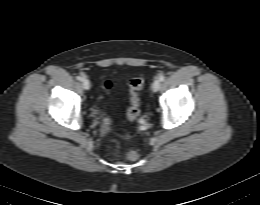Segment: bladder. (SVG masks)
<instances>
[{"instance_id":"1","label":"bladder","mask_w":260,"mask_h":205,"mask_svg":"<svg viewBox=\"0 0 260 205\" xmlns=\"http://www.w3.org/2000/svg\"><path fill=\"white\" fill-rule=\"evenodd\" d=\"M91 114L94 117H99L101 115V112L97 107H93L92 110H91Z\"/></svg>"}]
</instances>
